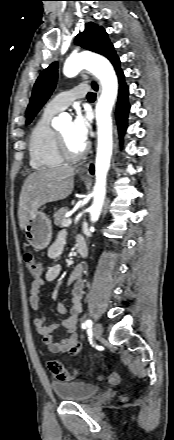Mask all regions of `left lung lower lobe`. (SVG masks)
<instances>
[{
  "instance_id": "left-lung-lower-lobe-1",
  "label": "left lung lower lobe",
  "mask_w": 174,
  "mask_h": 440,
  "mask_svg": "<svg viewBox=\"0 0 174 440\" xmlns=\"http://www.w3.org/2000/svg\"><path fill=\"white\" fill-rule=\"evenodd\" d=\"M111 63L113 64L116 73L118 75L119 80V95H118V102L116 107V120L120 132L121 138L124 135V132L126 130L127 126V116L130 109L129 103H128V87L124 81V74L123 71L120 68V59L117 55L112 57L110 59ZM93 88L97 90V85L95 83L92 84ZM90 172L94 173V167L93 165L90 168Z\"/></svg>"
}]
</instances>
